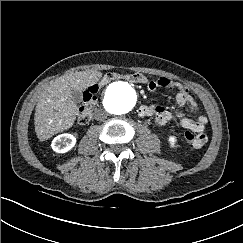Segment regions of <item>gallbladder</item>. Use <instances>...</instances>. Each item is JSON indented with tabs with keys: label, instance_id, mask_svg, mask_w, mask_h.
<instances>
[{
	"label": "gallbladder",
	"instance_id": "bac80fb5",
	"mask_svg": "<svg viewBox=\"0 0 243 243\" xmlns=\"http://www.w3.org/2000/svg\"><path fill=\"white\" fill-rule=\"evenodd\" d=\"M72 99L75 103H80L82 101V92L78 90H73Z\"/></svg>",
	"mask_w": 243,
	"mask_h": 243
}]
</instances>
